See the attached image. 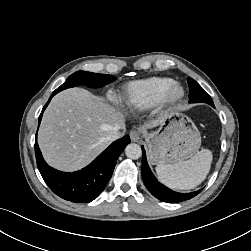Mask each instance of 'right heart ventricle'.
Wrapping results in <instances>:
<instances>
[{"label": "right heart ventricle", "mask_w": 251, "mask_h": 251, "mask_svg": "<svg viewBox=\"0 0 251 251\" xmlns=\"http://www.w3.org/2000/svg\"><path fill=\"white\" fill-rule=\"evenodd\" d=\"M174 82L169 77H150L131 82L122 98L129 110H146L157 105L163 91Z\"/></svg>", "instance_id": "e07e8e85"}]
</instances>
